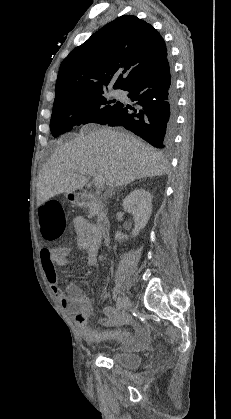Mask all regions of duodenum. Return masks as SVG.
Returning <instances> with one entry per match:
<instances>
[{
	"label": "duodenum",
	"instance_id": "duodenum-1",
	"mask_svg": "<svg viewBox=\"0 0 231 419\" xmlns=\"http://www.w3.org/2000/svg\"><path fill=\"white\" fill-rule=\"evenodd\" d=\"M75 201L79 207L93 208L96 210V227L98 229L101 240H107L110 235L111 222L106 212L104 211L102 200L91 193H79L76 195Z\"/></svg>",
	"mask_w": 231,
	"mask_h": 419
}]
</instances>
